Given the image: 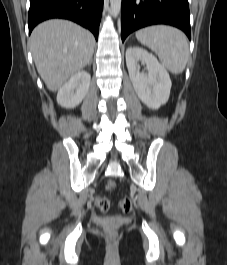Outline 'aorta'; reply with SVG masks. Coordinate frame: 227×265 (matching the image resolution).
Returning a JSON list of instances; mask_svg holds the SVG:
<instances>
[{"label":"aorta","instance_id":"obj_1","mask_svg":"<svg viewBox=\"0 0 227 265\" xmlns=\"http://www.w3.org/2000/svg\"><path fill=\"white\" fill-rule=\"evenodd\" d=\"M121 1L122 0H110V9L112 16L117 17L120 13Z\"/></svg>","mask_w":227,"mask_h":265}]
</instances>
